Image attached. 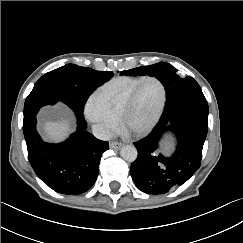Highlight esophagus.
Listing matches in <instances>:
<instances>
[{"label": "esophagus", "instance_id": "1", "mask_svg": "<svg viewBox=\"0 0 243 243\" xmlns=\"http://www.w3.org/2000/svg\"><path fill=\"white\" fill-rule=\"evenodd\" d=\"M123 146L122 143L119 142H111L110 143V148L114 150H119Z\"/></svg>", "mask_w": 243, "mask_h": 243}]
</instances>
